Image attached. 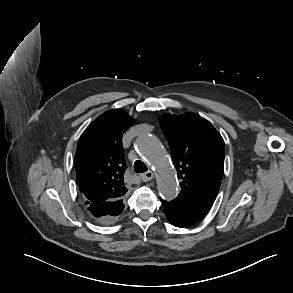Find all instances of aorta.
I'll return each instance as SVG.
<instances>
[{
  "mask_svg": "<svg viewBox=\"0 0 293 293\" xmlns=\"http://www.w3.org/2000/svg\"><path fill=\"white\" fill-rule=\"evenodd\" d=\"M136 147L142 158L157 175L159 193L167 200L178 194L175 170L160 142L152 135L144 134L137 138Z\"/></svg>",
  "mask_w": 293,
  "mask_h": 293,
  "instance_id": "obj_1",
  "label": "aorta"
}]
</instances>
